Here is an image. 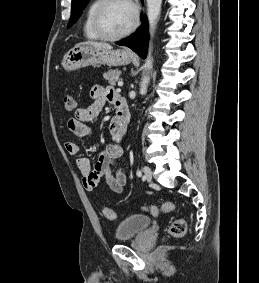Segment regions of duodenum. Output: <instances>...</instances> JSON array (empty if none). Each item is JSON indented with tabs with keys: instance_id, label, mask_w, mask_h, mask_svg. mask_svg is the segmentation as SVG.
Masks as SVG:
<instances>
[{
	"instance_id": "duodenum-1",
	"label": "duodenum",
	"mask_w": 259,
	"mask_h": 283,
	"mask_svg": "<svg viewBox=\"0 0 259 283\" xmlns=\"http://www.w3.org/2000/svg\"><path fill=\"white\" fill-rule=\"evenodd\" d=\"M116 105V116L114 122L117 127L125 129L129 122V110L125 100L122 97H118L115 103Z\"/></svg>"
}]
</instances>
